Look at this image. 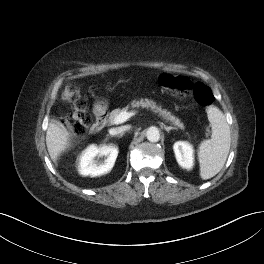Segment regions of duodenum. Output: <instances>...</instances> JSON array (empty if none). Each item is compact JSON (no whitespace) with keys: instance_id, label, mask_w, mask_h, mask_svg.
<instances>
[{"instance_id":"1","label":"duodenum","mask_w":264,"mask_h":264,"mask_svg":"<svg viewBox=\"0 0 264 264\" xmlns=\"http://www.w3.org/2000/svg\"><path fill=\"white\" fill-rule=\"evenodd\" d=\"M93 114H94V122L91 126V131L93 133H96L99 130H101L104 126L106 111L102 106L96 105L94 107Z\"/></svg>"}]
</instances>
